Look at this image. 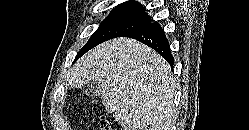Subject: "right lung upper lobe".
Returning <instances> with one entry per match:
<instances>
[{"label":"right lung upper lobe","instance_id":"obj_1","mask_svg":"<svg viewBox=\"0 0 249 130\" xmlns=\"http://www.w3.org/2000/svg\"><path fill=\"white\" fill-rule=\"evenodd\" d=\"M119 6H129V7H136V8L143 9V6L141 4L133 0L122 3Z\"/></svg>","mask_w":249,"mask_h":130}]
</instances>
